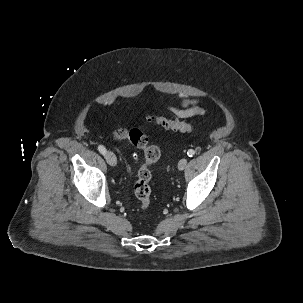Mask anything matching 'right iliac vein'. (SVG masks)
I'll list each match as a JSON object with an SVG mask.
<instances>
[{
    "mask_svg": "<svg viewBox=\"0 0 303 303\" xmlns=\"http://www.w3.org/2000/svg\"><path fill=\"white\" fill-rule=\"evenodd\" d=\"M104 157L109 165L115 166L117 164V158L113 152L106 151Z\"/></svg>",
    "mask_w": 303,
    "mask_h": 303,
    "instance_id": "63e3f726",
    "label": "right iliac vein"
}]
</instances>
